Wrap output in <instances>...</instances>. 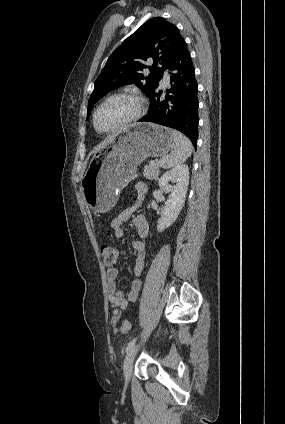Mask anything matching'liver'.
Listing matches in <instances>:
<instances>
[{
	"mask_svg": "<svg viewBox=\"0 0 285 424\" xmlns=\"http://www.w3.org/2000/svg\"><path fill=\"white\" fill-rule=\"evenodd\" d=\"M114 138L115 136L113 135L112 137H109L106 140H104V142L97 148L96 151L101 150L106 144L110 143Z\"/></svg>",
	"mask_w": 285,
	"mask_h": 424,
	"instance_id": "obj_1",
	"label": "liver"
}]
</instances>
